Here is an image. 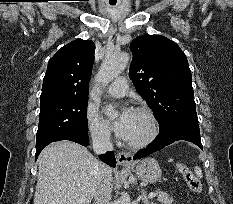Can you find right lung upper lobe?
Here are the masks:
<instances>
[{"mask_svg": "<svg viewBox=\"0 0 233 204\" xmlns=\"http://www.w3.org/2000/svg\"><path fill=\"white\" fill-rule=\"evenodd\" d=\"M95 44L76 39L62 47L48 62L40 101L88 97Z\"/></svg>", "mask_w": 233, "mask_h": 204, "instance_id": "cb5924a9", "label": "right lung upper lobe"}]
</instances>
